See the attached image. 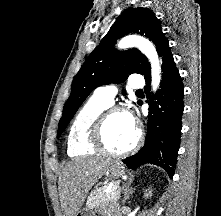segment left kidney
<instances>
[{
    "label": "left kidney",
    "instance_id": "5707ae66",
    "mask_svg": "<svg viewBox=\"0 0 221 216\" xmlns=\"http://www.w3.org/2000/svg\"><path fill=\"white\" fill-rule=\"evenodd\" d=\"M149 195H150V196L152 195L151 192L145 194V197H148Z\"/></svg>",
    "mask_w": 221,
    "mask_h": 216
}]
</instances>
